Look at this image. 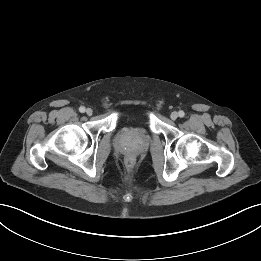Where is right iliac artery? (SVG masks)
Returning <instances> with one entry per match:
<instances>
[{"label":"right iliac artery","mask_w":261,"mask_h":261,"mask_svg":"<svg viewBox=\"0 0 261 261\" xmlns=\"http://www.w3.org/2000/svg\"><path fill=\"white\" fill-rule=\"evenodd\" d=\"M79 111H80L81 113H84V112H85V107H84V106H81V107L79 108Z\"/></svg>","instance_id":"right-iliac-artery-1"}]
</instances>
